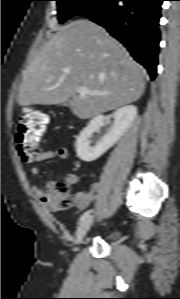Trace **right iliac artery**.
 I'll use <instances>...</instances> for the list:
<instances>
[{"label": "right iliac artery", "instance_id": "82829eb1", "mask_svg": "<svg viewBox=\"0 0 180 299\" xmlns=\"http://www.w3.org/2000/svg\"><path fill=\"white\" fill-rule=\"evenodd\" d=\"M91 213H92V209L87 210L86 212H84L81 215L80 219H79V223L82 222V221H84L87 217H89Z\"/></svg>", "mask_w": 180, "mask_h": 299}]
</instances>
